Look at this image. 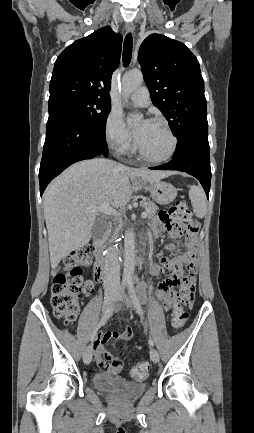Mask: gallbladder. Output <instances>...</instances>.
<instances>
[{"label":"gallbladder","instance_id":"gallbladder-1","mask_svg":"<svg viewBox=\"0 0 254 433\" xmlns=\"http://www.w3.org/2000/svg\"><path fill=\"white\" fill-rule=\"evenodd\" d=\"M107 224L104 220L97 219L91 229V236L93 239H101L106 235Z\"/></svg>","mask_w":254,"mask_h":433}]
</instances>
